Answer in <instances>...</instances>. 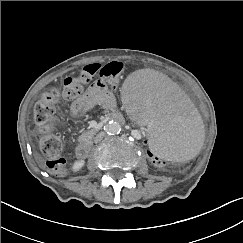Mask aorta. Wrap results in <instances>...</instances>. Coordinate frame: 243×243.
<instances>
[{
    "label": "aorta",
    "mask_w": 243,
    "mask_h": 243,
    "mask_svg": "<svg viewBox=\"0 0 243 243\" xmlns=\"http://www.w3.org/2000/svg\"><path fill=\"white\" fill-rule=\"evenodd\" d=\"M105 131L110 135L119 134L121 131V125L116 121H110L105 125Z\"/></svg>",
    "instance_id": "762f6f07"
}]
</instances>
